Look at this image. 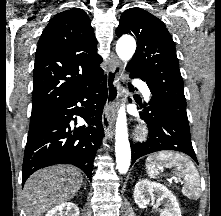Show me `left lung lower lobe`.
Instances as JSON below:
<instances>
[{
	"label": "left lung lower lobe",
	"instance_id": "1",
	"mask_svg": "<svg viewBox=\"0 0 221 216\" xmlns=\"http://www.w3.org/2000/svg\"><path fill=\"white\" fill-rule=\"evenodd\" d=\"M131 76L139 77L132 74ZM130 87L134 90L133 86ZM141 116L149 124L150 137L146 142L131 144L132 164L144 155L162 150L183 152L198 163L191 143L188 122L157 106L144 108Z\"/></svg>",
	"mask_w": 221,
	"mask_h": 216
}]
</instances>
